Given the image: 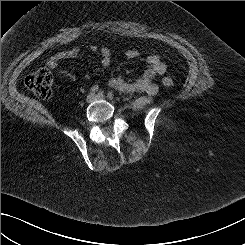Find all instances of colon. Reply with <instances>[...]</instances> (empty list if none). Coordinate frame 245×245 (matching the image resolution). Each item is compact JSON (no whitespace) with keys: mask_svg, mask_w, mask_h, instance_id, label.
Masks as SVG:
<instances>
[{"mask_svg":"<svg viewBox=\"0 0 245 245\" xmlns=\"http://www.w3.org/2000/svg\"><path fill=\"white\" fill-rule=\"evenodd\" d=\"M53 76L50 70L42 68L29 74L25 79L26 87L38 98L48 99L52 95ZM162 85L165 88H172L175 79L172 75L166 74L162 78Z\"/></svg>","mask_w":245,"mask_h":245,"instance_id":"1","label":"colon"}]
</instances>
